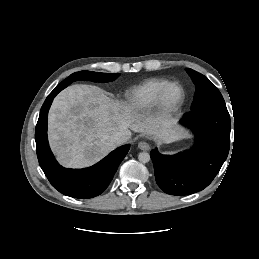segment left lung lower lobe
Masks as SVG:
<instances>
[{
  "label": "left lung lower lobe",
  "instance_id": "obj_1",
  "mask_svg": "<svg viewBox=\"0 0 259 259\" xmlns=\"http://www.w3.org/2000/svg\"><path fill=\"white\" fill-rule=\"evenodd\" d=\"M181 123L196 136L194 146L175 155L150 152L159 187L171 195H189L206 188L215 178L230 146L231 122L226 107H206L187 113Z\"/></svg>",
  "mask_w": 259,
  "mask_h": 259
}]
</instances>
